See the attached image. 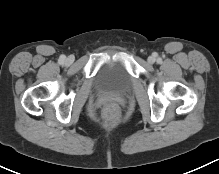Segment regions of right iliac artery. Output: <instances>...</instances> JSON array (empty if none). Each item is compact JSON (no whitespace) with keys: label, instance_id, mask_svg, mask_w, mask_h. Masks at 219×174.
Masks as SVG:
<instances>
[{"label":"right iliac artery","instance_id":"right-iliac-artery-1","mask_svg":"<svg viewBox=\"0 0 219 174\" xmlns=\"http://www.w3.org/2000/svg\"><path fill=\"white\" fill-rule=\"evenodd\" d=\"M64 60H65V56H61L60 59H59V62H60V63H63Z\"/></svg>","mask_w":219,"mask_h":174}]
</instances>
